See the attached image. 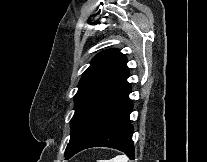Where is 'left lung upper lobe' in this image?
<instances>
[{
  "label": "left lung upper lobe",
  "mask_w": 207,
  "mask_h": 162,
  "mask_svg": "<svg viewBox=\"0 0 207 162\" xmlns=\"http://www.w3.org/2000/svg\"><path fill=\"white\" fill-rule=\"evenodd\" d=\"M126 63V57L117 49L103 51L93 58L78 85L66 151L97 108L127 83Z\"/></svg>",
  "instance_id": "1"
}]
</instances>
